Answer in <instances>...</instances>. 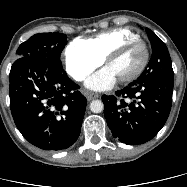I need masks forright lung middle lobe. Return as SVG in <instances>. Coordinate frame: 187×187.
<instances>
[{"label":"right lung middle lobe","mask_w":187,"mask_h":187,"mask_svg":"<svg viewBox=\"0 0 187 187\" xmlns=\"http://www.w3.org/2000/svg\"><path fill=\"white\" fill-rule=\"evenodd\" d=\"M67 36L61 33H39L23 42L17 49V57H34L61 64L60 55Z\"/></svg>","instance_id":"right-lung-middle-lobe-1"}]
</instances>
